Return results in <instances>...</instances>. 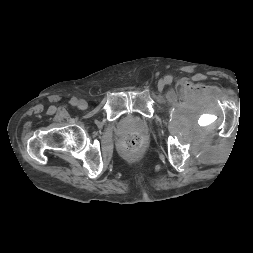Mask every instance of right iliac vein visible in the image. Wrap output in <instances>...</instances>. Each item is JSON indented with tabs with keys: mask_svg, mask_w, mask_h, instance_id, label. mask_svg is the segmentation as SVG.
<instances>
[{
	"mask_svg": "<svg viewBox=\"0 0 253 253\" xmlns=\"http://www.w3.org/2000/svg\"><path fill=\"white\" fill-rule=\"evenodd\" d=\"M78 107L79 109L81 110H85L87 107H88V104L85 100L81 99L79 102H78Z\"/></svg>",
	"mask_w": 253,
	"mask_h": 253,
	"instance_id": "right-iliac-vein-1",
	"label": "right iliac vein"
}]
</instances>
